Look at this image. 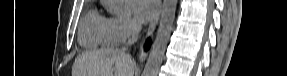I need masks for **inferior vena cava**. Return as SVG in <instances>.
<instances>
[{"instance_id": "1", "label": "inferior vena cava", "mask_w": 287, "mask_h": 76, "mask_svg": "<svg viewBox=\"0 0 287 76\" xmlns=\"http://www.w3.org/2000/svg\"><path fill=\"white\" fill-rule=\"evenodd\" d=\"M140 29H141L140 24H133L132 25L131 37L128 39L127 46H124L121 48V52L125 53L128 46H131L137 40Z\"/></svg>"}]
</instances>
